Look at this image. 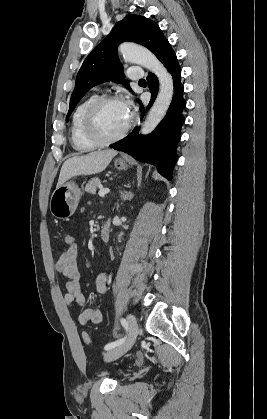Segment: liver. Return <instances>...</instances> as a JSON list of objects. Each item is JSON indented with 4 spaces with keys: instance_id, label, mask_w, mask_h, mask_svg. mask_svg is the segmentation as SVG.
<instances>
[{
    "instance_id": "obj_1",
    "label": "liver",
    "mask_w": 267,
    "mask_h": 419,
    "mask_svg": "<svg viewBox=\"0 0 267 419\" xmlns=\"http://www.w3.org/2000/svg\"><path fill=\"white\" fill-rule=\"evenodd\" d=\"M116 150L94 151L86 155L74 156L64 162L60 170L57 187L78 175H90L102 172L109 165Z\"/></svg>"
}]
</instances>
